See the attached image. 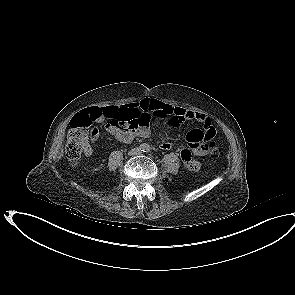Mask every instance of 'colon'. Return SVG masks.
Returning a JSON list of instances; mask_svg holds the SVG:
<instances>
[{
	"instance_id": "colon-1",
	"label": "colon",
	"mask_w": 295,
	"mask_h": 295,
	"mask_svg": "<svg viewBox=\"0 0 295 295\" xmlns=\"http://www.w3.org/2000/svg\"><path fill=\"white\" fill-rule=\"evenodd\" d=\"M102 114L108 120L114 119L112 108H104ZM92 122L93 121L84 113L76 116L70 124L67 133L65 152L69 161L74 165H76L81 159L83 153L89 146V140L96 131ZM118 125L122 128L133 130L138 128L139 122L133 119H124L118 122ZM209 154L214 159L218 158L221 154L219 145L215 142H211L209 145Z\"/></svg>"
}]
</instances>
